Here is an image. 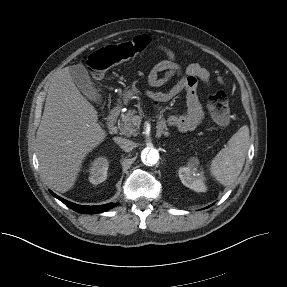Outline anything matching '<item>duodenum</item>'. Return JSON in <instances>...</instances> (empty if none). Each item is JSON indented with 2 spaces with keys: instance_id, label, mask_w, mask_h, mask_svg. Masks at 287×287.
<instances>
[{
  "instance_id": "obj_1",
  "label": "duodenum",
  "mask_w": 287,
  "mask_h": 287,
  "mask_svg": "<svg viewBox=\"0 0 287 287\" xmlns=\"http://www.w3.org/2000/svg\"><path fill=\"white\" fill-rule=\"evenodd\" d=\"M120 111H121V106H115L113 107L108 116H107V120H106V123L108 125V127H112L116 121V119L118 118L119 114H120ZM163 131V128L162 127H158V132L159 133H162Z\"/></svg>"
}]
</instances>
